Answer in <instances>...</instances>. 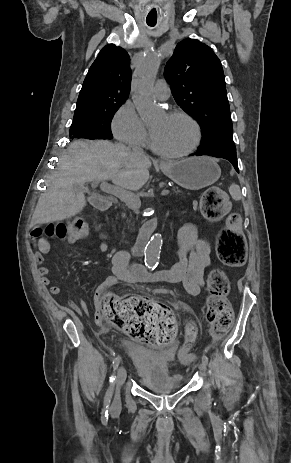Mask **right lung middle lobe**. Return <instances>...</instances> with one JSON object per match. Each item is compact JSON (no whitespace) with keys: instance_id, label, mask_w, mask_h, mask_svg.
<instances>
[{"instance_id":"obj_1","label":"right lung middle lobe","mask_w":291,"mask_h":463,"mask_svg":"<svg viewBox=\"0 0 291 463\" xmlns=\"http://www.w3.org/2000/svg\"><path fill=\"white\" fill-rule=\"evenodd\" d=\"M124 102L108 101L91 112L74 116L70 127L72 139H111V121L115 112Z\"/></svg>"}]
</instances>
